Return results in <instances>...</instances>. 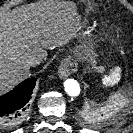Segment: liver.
<instances>
[{
    "label": "liver",
    "instance_id": "1",
    "mask_svg": "<svg viewBox=\"0 0 133 133\" xmlns=\"http://www.w3.org/2000/svg\"><path fill=\"white\" fill-rule=\"evenodd\" d=\"M79 28V16L70 2L39 1L12 12L1 10L0 94L29 75V57L65 45Z\"/></svg>",
    "mask_w": 133,
    "mask_h": 133
}]
</instances>
